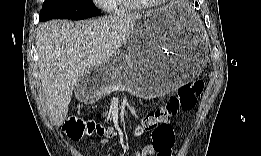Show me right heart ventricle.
<instances>
[{
    "label": "right heart ventricle",
    "instance_id": "obj_1",
    "mask_svg": "<svg viewBox=\"0 0 261 156\" xmlns=\"http://www.w3.org/2000/svg\"><path fill=\"white\" fill-rule=\"evenodd\" d=\"M112 4L116 10L124 7V1H112Z\"/></svg>",
    "mask_w": 261,
    "mask_h": 156
}]
</instances>
